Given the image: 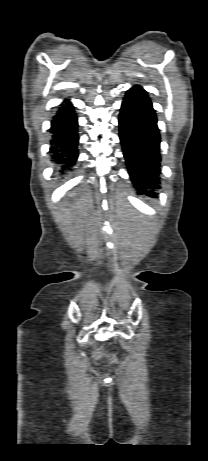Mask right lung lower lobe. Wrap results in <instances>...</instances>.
Returning a JSON list of instances; mask_svg holds the SVG:
<instances>
[{"mask_svg":"<svg viewBox=\"0 0 208 461\" xmlns=\"http://www.w3.org/2000/svg\"><path fill=\"white\" fill-rule=\"evenodd\" d=\"M77 118L70 100H64L57 114L53 117L50 131V153L53 160L62 168L73 166L78 157Z\"/></svg>","mask_w":208,"mask_h":461,"instance_id":"right-lung-lower-lobe-1","label":"right lung lower lobe"}]
</instances>
